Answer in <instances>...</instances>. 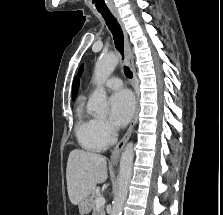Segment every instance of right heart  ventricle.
<instances>
[{
	"label": "right heart ventricle",
	"instance_id": "1",
	"mask_svg": "<svg viewBox=\"0 0 223 215\" xmlns=\"http://www.w3.org/2000/svg\"><path fill=\"white\" fill-rule=\"evenodd\" d=\"M96 118L83 106L76 111L75 135L79 144L92 152L104 151L108 147V140L98 131Z\"/></svg>",
	"mask_w": 223,
	"mask_h": 215
}]
</instances>
